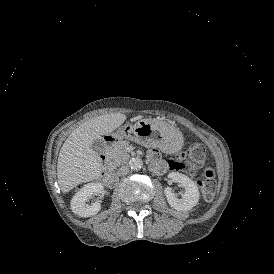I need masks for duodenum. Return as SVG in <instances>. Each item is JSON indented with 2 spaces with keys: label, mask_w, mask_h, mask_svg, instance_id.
Returning a JSON list of instances; mask_svg holds the SVG:
<instances>
[{
  "label": "duodenum",
  "mask_w": 274,
  "mask_h": 274,
  "mask_svg": "<svg viewBox=\"0 0 274 274\" xmlns=\"http://www.w3.org/2000/svg\"><path fill=\"white\" fill-rule=\"evenodd\" d=\"M117 141V138L114 136H108L105 138V147L110 146L111 144L115 143ZM101 159V163L104 167V175L105 178L107 180H111L115 177V172L112 168V166L110 165V163L108 162L107 156L106 154H102L100 156ZM155 169L159 172H162L165 169V166L161 163H158L156 165H154Z\"/></svg>",
  "instance_id": "duodenum-1"
}]
</instances>
